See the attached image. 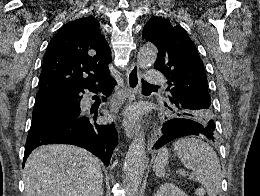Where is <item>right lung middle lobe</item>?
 <instances>
[{
    "label": "right lung middle lobe",
    "instance_id": "dd1d6c3e",
    "mask_svg": "<svg viewBox=\"0 0 260 196\" xmlns=\"http://www.w3.org/2000/svg\"><path fill=\"white\" fill-rule=\"evenodd\" d=\"M74 118V115L71 113H66V112H60L56 110H52L45 107H35L33 110V117H32V123H31V128L36 129L38 127L58 122V121H63V120H68Z\"/></svg>",
    "mask_w": 260,
    "mask_h": 196
}]
</instances>
